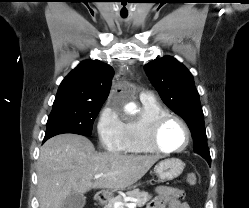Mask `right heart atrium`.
<instances>
[{"label": "right heart atrium", "mask_w": 249, "mask_h": 208, "mask_svg": "<svg viewBox=\"0 0 249 208\" xmlns=\"http://www.w3.org/2000/svg\"><path fill=\"white\" fill-rule=\"evenodd\" d=\"M125 123L118 108L106 105L100 112L97 132L102 147L112 153L123 152Z\"/></svg>", "instance_id": "right-heart-atrium-1"}]
</instances>
